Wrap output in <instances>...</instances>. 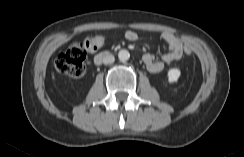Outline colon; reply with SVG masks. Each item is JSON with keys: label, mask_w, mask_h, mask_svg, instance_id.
I'll return each instance as SVG.
<instances>
[{"label": "colon", "mask_w": 244, "mask_h": 157, "mask_svg": "<svg viewBox=\"0 0 244 157\" xmlns=\"http://www.w3.org/2000/svg\"><path fill=\"white\" fill-rule=\"evenodd\" d=\"M106 43L104 35L87 37L82 44L75 43L59 55L55 61L56 70L72 78H79L85 73V59L87 51H95ZM184 53L189 56L192 53L190 46L184 47Z\"/></svg>", "instance_id": "colon-1"}]
</instances>
